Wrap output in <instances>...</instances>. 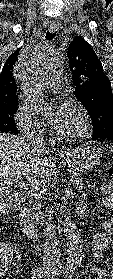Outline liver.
Here are the masks:
<instances>
[{"mask_svg":"<svg viewBox=\"0 0 113 279\" xmlns=\"http://www.w3.org/2000/svg\"><path fill=\"white\" fill-rule=\"evenodd\" d=\"M18 176L29 185L45 184L51 177L49 159L32 151L18 137L0 133V211L8 206L11 186Z\"/></svg>","mask_w":113,"mask_h":279,"instance_id":"obj_1","label":"liver"}]
</instances>
